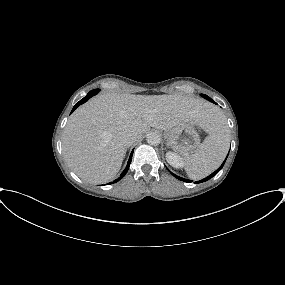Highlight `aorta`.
<instances>
[{
	"mask_svg": "<svg viewBox=\"0 0 285 285\" xmlns=\"http://www.w3.org/2000/svg\"><path fill=\"white\" fill-rule=\"evenodd\" d=\"M146 140L150 145H159L161 142V135L158 132H149L146 135Z\"/></svg>",
	"mask_w": 285,
	"mask_h": 285,
	"instance_id": "762f6f07",
	"label": "aorta"
}]
</instances>
